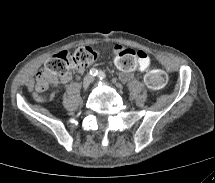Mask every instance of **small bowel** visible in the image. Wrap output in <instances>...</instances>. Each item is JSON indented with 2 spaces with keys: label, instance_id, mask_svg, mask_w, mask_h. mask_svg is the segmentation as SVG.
Here are the masks:
<instances>
[{
  "label": "small bowel",
  "instance_id": "small-bowel-1",
  "mask_svg": "<svg viewBox=\"0 0 215 183\" xmlns=\"http://www.w3.org/2000/svg\"><path fill=\"white\" fill-rule=\"evenodd\" d=\"M114 51L117 55L115 58V69L118 76L123 81H128L133 75H143L151 66V57L149 53L143 49L134 47H123L116 45ZM80 72L82 70H79ZM44 70L40 71L36 76L34 85L30 87L33 91V97L38 102H44L54 97V93L47 94L46 91L50 85L58 83L67 84L73 79L72 72H68L65 76L59 79L45 80L43 79Z\"/></svg>",
  "mask_w": 215,
  "mask_h": 183
}]
</instances>
